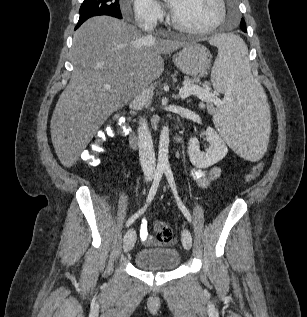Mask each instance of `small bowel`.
Listing matches in <instances>:
<instances>
[{"mask_svg": "<svg viewBox=\"0 0 307 317\" xmlns=\"http://www.w3.org/2000/svg\"><path fill=\"white\" fill-rule=\"evenodd\" d=\"M192 177L197 181L201 187L209 186L214 180L221 175L220 167L216 166L209 170L205 169H193L191 171ZM139 236L142 241H151L152 236L148 231V224L143 221L140 225Z\"/></svg>", "mask_w": 307, "mask_h": 317, "instance_id": "obj_1", "label": "small bowel"}]
</instances>
